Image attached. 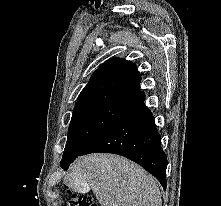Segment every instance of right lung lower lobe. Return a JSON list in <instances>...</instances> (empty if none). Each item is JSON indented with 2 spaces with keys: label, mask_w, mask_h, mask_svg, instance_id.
Listing matches in <instances>:
<instances>
[{
  "label": "right lung lower lobe",
  "mask_w": 221,
  "mask_h": 206,
  "mask_svg": "<svg viewBox=\"0 0 221 206\" xmlns=\"http://www.w3.org/2000/svg\"><path fill=\"white\" fill-rule=\"evenodd\" d=\"M144 100L145 97L128 107L79 156L94 152L124 156L154 175L166 189L167 157L161 148V137L154 116L145 106ZM74 160L61 167L66 170Z\"/></svg>",
  "instance_id": "1"
}]
</instances>
